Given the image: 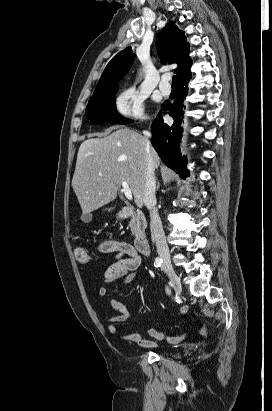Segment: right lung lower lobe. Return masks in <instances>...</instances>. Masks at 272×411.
<instances>
[{"mask_svg":"<svg viewBox=\"0 0 272 411\" xmlns=\"http://www.w3.org/2000/svg\"><path fill=\"white\" fill-rule=\"evenodd\" d=\"M188 94V81L178 83V96L171 106L165 102L164 110H169V115L173 117L172 124H166L162 115L158 114L151 126L152 145L163 160V162L181 178H186L188 170L185 167L186 159L180 152V141L182 137L183 124V101Z\"/></svg>","mask_w":272,"mask_h":411,"instance_id":"1","label":"right lung lower lobe"}]
</instances>
